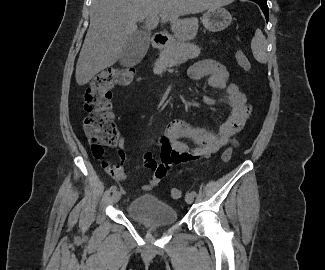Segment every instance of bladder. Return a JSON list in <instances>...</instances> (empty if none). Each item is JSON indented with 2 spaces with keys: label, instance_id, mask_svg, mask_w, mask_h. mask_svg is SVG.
I'll return each mask as SVG.
<instances>
[{
  "label": "bladder",
  "instance_id": "1",
  "mask_svg": "<svg viewBox=\"0 0 325 270\" xmlns=\"http://www.w3.org/2000/svg\"><path fill=\"white\" fill-rule=\"evenodd\" d=\"M126 212L131 219L151 227L171 225L178 220L175 208L152 194L133 199L127 206Z\"/></svg>",
  "mask_w": 325,
  "mask_h": 270
}]
</instances>
